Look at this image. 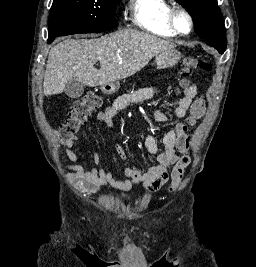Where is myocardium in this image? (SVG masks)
I'll use <instances>...</instances> for the list:
<instances>
[{
	"label": "myocardium",
	"instance_id": "f54148a6",
	"mask_svg": "<svg viewBox=\"0 0 256 267\" xmlns=\"http://www.w3.org/2000/svg\"><path fill=\"white\" fill-rule=\"evenodd\" d=\"M177 12L182 13L186 17V19L188 21V29L186 31H182L178 27L177 20H176V13ZM169 22H170V25H171L172 29L177 34L182 35V36L189 35L191 33V31L193 29V25H194L191 13L184 6H182L180 4H177L176 8L174 10L170 11V13H169Z\"/></svg>",
	"mask_w": 256,
	"mask_h": 267
}]
</instances>
